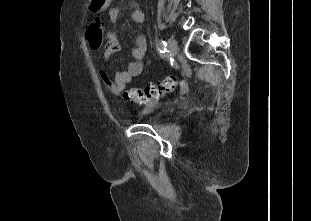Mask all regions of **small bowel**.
<instances>
[{
  "mask_svg": "<svg viewBox=\"0 0 311 221\" xmlns=\"http://www.w3.org/2000/svg\"><path fill=\"white\" fill-rule=\"evenodd\" d=\"M102 9V8H101ZM120 16L119 7H111L109 9V18L111 21L115 22ZM132 20L135 23H143L145 21V15L142 10L135 9L132 12ZM119 49V38L115 31H109L106 35V43L104 47V59L109 61L112 56ZM147 55V44L145 37L138 35L135 38V47L132 50L133 61L128 63L127 68L124 70H119L115 73L114 78L111 79L110 76L105 72H100V77L104 84L109 88V90L115 94L119 95L125 86L130 83L132 78L140 75L144 69V59Z\"/></svg>",
  "mask_w": 311,
  "mask_h": 221,
  "instance_id": "small-bowel-1",
  "label": "small bowel"
}]
</instances>
